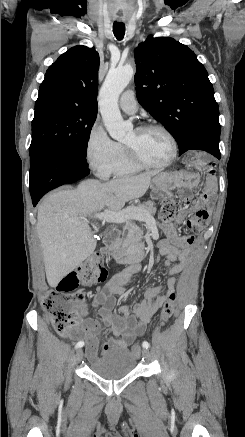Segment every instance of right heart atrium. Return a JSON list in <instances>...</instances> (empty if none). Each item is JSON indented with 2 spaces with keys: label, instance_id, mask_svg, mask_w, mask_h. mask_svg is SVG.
Segmentation results:
<instances>
[{
  "label": "right heart atrium",
  "instance_id": "right-heart-atrium-1",
  "mask_svg": "<svg viewBox=\"0 0 245 437\" xmlns=\"http://www.w3.org/2000/svg\"><path fill=\"white\" fill-rule=\"evenodd\" d=\"M119 154V145L106 132L102 123L96 120L87 135L85 158L89 167L99 176L107 177Z\"/></svg>",
  "mask_w": 245,
  "mask_h": 437
}]
</instances>
